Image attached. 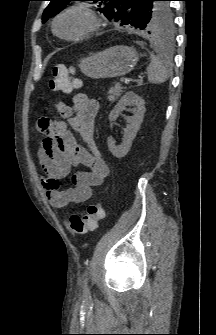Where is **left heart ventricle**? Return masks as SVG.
Wrapping results in <instances>:
<instances>
[{
	"instance_id": "left-heart-ventricle-1",
	"label": "left heart ventricle",
	"mask_w": 216,
	"mask_h": 335,
	"mask_svg": "<svg viewBox=\"0 0 216 335\" xmlns=\"http://www.w3.org/2000/svg\"><path fill=\"white\" fill-rule=\"evenodd\" d=\"M87 25L88 20L83 14L71 12L59 20L57 30L63 36H74L83 31Z\"/></svg>"
}]
</instances>
